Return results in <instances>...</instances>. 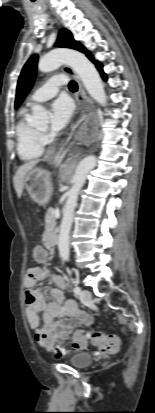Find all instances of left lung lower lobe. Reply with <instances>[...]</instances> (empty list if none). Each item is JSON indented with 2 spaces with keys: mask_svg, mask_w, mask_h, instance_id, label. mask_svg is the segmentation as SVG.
I'll return each mask as SVG.
<instances>
[{
  "mask_svg": "<svg viewBox=\"0 0 155 413\" xmlns=\"http://www.w3.org/2000/svg\"><path fill=\"white\" fill-rule=\"evenodd\" d=\"M90 60H91L93 63L96 64V66H97L98 70L100 71L103 79L106 80V75H105V73L103 72L102 65H101L98 61L94 60V58H92V59H90Z\"/></svg>",
  "mask_w": 155,
  "mask_h": 413,
  "instance_id": "left-lung-lower-lobe-1",
  "label": "left lung lower lobe"
}]
</instances>
